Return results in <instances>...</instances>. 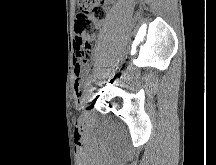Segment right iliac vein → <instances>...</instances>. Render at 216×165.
<instances>
[{"label": "right iliac vein", "instance_id": "63e3f726", "mask_svg": "<svg viewBox=\"0 0 216 165\" xmlns=\"http://www.w3.org/2000/svg\"><path fill=\"white\" fill-rule=\"evenodd\" d=\"M94 83L95 80H93L91 85L89 86V95L87 96V100L83 103L85 106L89 105L92 101V97H94Z\"/></svg>", "mask_w": 216, "mask_h": 165}]
</instances>
